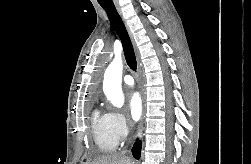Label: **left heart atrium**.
Here are the masks:
<instances>
[{
  "mask_svg": "<svg viewBox=\"0 0 251 164\" xmlns=\"http://www.w3.org/2000/svg\"><path fill=\"white\" fill-rule=\"evenodd\" d=\"M128 111L133 120H138L142 114V100L138 92H131L128 96Z\"/></svg>",
  "mask_w": 251,
  "mask_h": 164,
  "instance_id": "obj_1",
  "label": "left heart atrium"
}]
</instances>
